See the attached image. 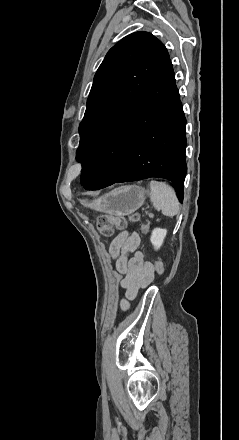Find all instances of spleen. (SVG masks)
Returning a JSON list of instances; mask_svg holds the SVG:
<instances>
[{
    "label": "spleen",
    "instance_id": "spleen-1",
    "mask_svg": "<svg viewBox=\"0 0 239 440\" xmlns=\"http://www.w3.org/2000/svg\"><path fill=\"white\" fill-rule=\"evenodd\" d=\"M151 202L156 210H162L164 216H176L179 212V202L175 190L166 182H150Z\"/></svg>",
    "mask_w": 239,
    "mask_h": 440
}]
</instances>
